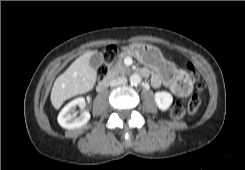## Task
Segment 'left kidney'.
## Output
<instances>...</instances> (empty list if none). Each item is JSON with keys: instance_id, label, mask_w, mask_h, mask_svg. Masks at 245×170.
I'll return each mask as SVG.
<instances>
[{"instance_id": "5707ae66", "label": "left kidney", "mask_w": 245, "mask_h": 170, "mask_svg": "<svg viewBox=\"0 0 245 170\" xmlns=\"http://www.w3.org/2000/svg\"><path fill=\"white\" fill-rule=\"evenodd\" d=\"M155 102L158 108L162 111L167 110L173 101L172 95L167 91H159L155 93Z\"/></svg>"}]
</instances>
